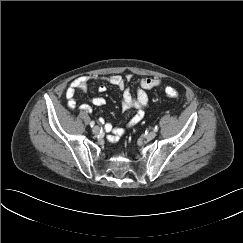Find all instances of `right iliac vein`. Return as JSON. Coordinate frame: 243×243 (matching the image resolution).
I'll return each mask as SVG.
<instances>
[{
	"label": "right iliac vein",
	"mask_w": 243,
	"mask_h": 243,
	"mask_svg": "<svg viewBox=\"0 0 243 243\" xmlns=\"http://www.w3.org/2000/svg\"><path fill=\"white\" fill-rule=\"evenodd\" d=\"M93 133L94 134H98L100 132V127L99 126H95L93 129H92Z\"/></svg>",
	"instance_id": "1"
}]
</instances>
